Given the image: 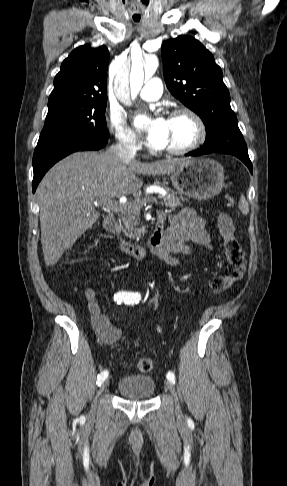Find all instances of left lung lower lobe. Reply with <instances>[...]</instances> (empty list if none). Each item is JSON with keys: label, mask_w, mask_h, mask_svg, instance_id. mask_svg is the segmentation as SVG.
Listing matches in <instances>:
<instances>
[{"label": "left lung lower lobe", "mask_w": 287, "mask_h": 486, "mask_svg": "<svg viewBox=\"0 0 287 486\" xmlns=\"http://www.w3.org/2000/svg\"><path fill=\"white\" fill-rule=\"evenodd\" d=\"M209 153H211V152L205 151V150H202V149H198V150H194V151L187 153L186 156H199V155H204V154H209ZM232 155H234V156L238 157L240 160H242L247 165L250 172L252 173V164H251V161L249 159L248 154H232Z\"/></svg>", "instance_id": "obj_1"}]
</instances>
